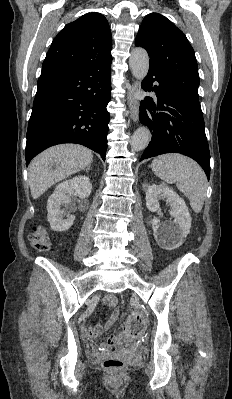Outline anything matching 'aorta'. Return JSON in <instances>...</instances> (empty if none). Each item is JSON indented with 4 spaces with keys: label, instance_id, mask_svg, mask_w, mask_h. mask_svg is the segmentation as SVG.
I'll list each match as a JSON object with an SVG mask.
<instances>
[{
    "label": "aorta",
    "instance_id": "1",
    "mask_svg": "<svg viewBox=\"0 0 232 399\" xmlns=\"http://www.w3.org/2000/svg\"><path fill=\"white\" fill-rule=\"evenodd\" d=\"M129 66L132 74L138 80L146 77L149 70V56L143 48H135L131 51ZM150 141V131L146 127H139L131 139V148L133 151L145 149Z\"/></svg>",
    "mask_w": 232,
    "mask_h": 399
}]
</instances>
